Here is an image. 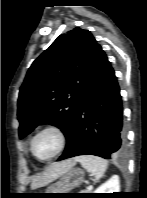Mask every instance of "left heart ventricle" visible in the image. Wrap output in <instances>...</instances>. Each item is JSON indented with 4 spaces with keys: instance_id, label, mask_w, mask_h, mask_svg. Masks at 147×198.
Here are the masks:
<instances>
[{
    "instance_id": "left-heart-ventricle-1",
    "label": "left heart ventricle",
    "mask_w": 147,
    "mask_h": 198,
    "mask_svg": "<svg viewBox=\"0 0 147 198\" xmlns=\"http://www.w3.org/2000/svg\"><path fill=\"white\" fill-rule=\"evenodd\" d=\"M59 146V139L53 132H45L39 135L33 144V149L37 157L48 158Z\"/></svg>"
}]
</instances>
